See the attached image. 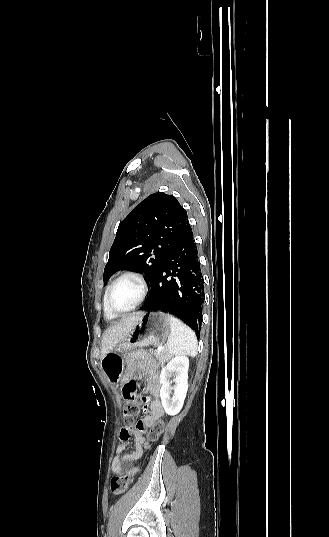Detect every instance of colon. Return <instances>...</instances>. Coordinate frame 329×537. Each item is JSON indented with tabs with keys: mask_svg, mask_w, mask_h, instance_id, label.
I'll return each instance as SVG.
<instances>
[{
	"mask_svg": "<svg viewBox=\"0 0 329 537\" xmlns=\"http://www.w3.org/2000/svg\"><path fill=\"white\" fill-rule=\"evenodd\" d=\"M124 401H125V406L123 408V419H124L125 429L132 430L133 428H135L137 430L142 431L143 423L141 421L136 422V419L141 412L140 398L138 397V395H136ZM163 428H164L163 422L158 421L151 428L145 431V445H144L145 448H147L150 443L154 442L158 438V436L163 431ZM135 473H136V469L132 468L126 474L113 477L110 482V488H111L112 493L114 495H119L125 492L128 486L133 481Z\"/></svg>",
	"mask_w": 329,
	"mask_h": 537,
	"instance_id": "1",
	"label": "colon"
}]
</instances>
